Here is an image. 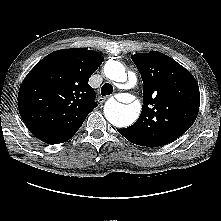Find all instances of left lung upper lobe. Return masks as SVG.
<instances>
[{"label": "left lung upper lobe", "instance_id": "5c2ea615", "mask_svg": "<svg viewBox=\"0 0 221 221\" xmlns=\"http://www.w3.org/2000/svg\"><path fill=\"white\" fill-rule=\"evenodd\" d=\"M131 58L143 80L144 105L138 120L125 128L129 141L147 147L166 145L194 123L200 104L198 84L187 69L160 52Z\"/></svg>", "mask_w": 221, "mask_h": 221}]
</instances>
